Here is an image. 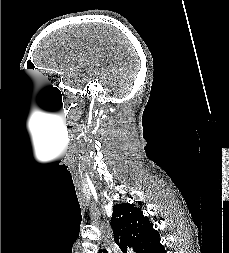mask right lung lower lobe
Instances as JSON below:
<instances>
[{
	"label": "right lung lower lobe",
	"instance_id": "1",
	"mask_svg": "<svg viewBox=\"0 0 229 253\" xmlns=\"http://www.w3.org/2000/svg\"><path fill=\"white\" fill-rule=\"evenodd\" d=\"M147 253H166L164 247L160 244V240Z\"/></svg>",
	"mask_w": 229,
	"mask_h": 253
}]
</instances>
